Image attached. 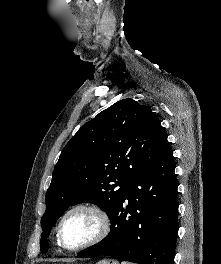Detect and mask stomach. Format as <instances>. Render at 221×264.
Instances as JSON below:
<instances>
[{
	"mask_svg": "<svg viewBox=\"0 0 221 264\" xmlns=\"http://www.w3.org/2000/svg\"><path fill=\"white\" fill-rule=\"evenodd\" d=\"M97 264H119V263L113 259H103L99 261Z\"/></svg>",
	"mask_w": 221,
	"mask_h": 264,
	"instance_id": "0dacf381",
	"label": "stomach"
}]
</instances>
